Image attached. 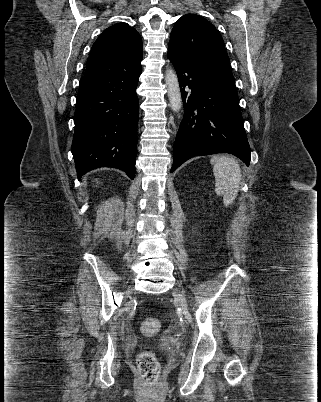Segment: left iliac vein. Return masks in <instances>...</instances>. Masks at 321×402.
<instances>
[{
	"label": "left iliac vein",
	"mask_w": 321,
	"mask_h": 402,
	"mask_svg": "<svg viewBox=\"0 0 321 402\" xmlns=\"http://www.w3.org/2000/svg\"><path fill=\"white\" fill-rule=\"evenodd\" d=\"M173 295L175 299L180 303L181 307L187 309V301L184 294L179 290H175L173 292Z\"/></svg>",
	"instance_id": "left-iliac-vein-1"
}]
</instances>
